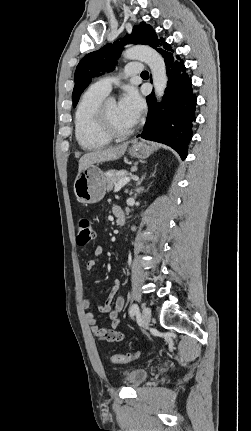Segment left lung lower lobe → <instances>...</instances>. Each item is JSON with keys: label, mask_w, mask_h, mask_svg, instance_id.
Returning <instances> with one entry per match:
<instances>
[{"label": "left lung lower lobe", "mask_w": 251, "mask_h": 431, "mask_svg": "<svg viewBox=\"0 0 251 431\" xmlns=\"http://www.w3.org/2000/svg\"><path fill=\"white\" fill-rule=\"evenodd\" d=\"M152 47L164 58L168 82L160 104L153 94L146 97L148 116L139 137L166 144L185 159L192 138V121L195 120L196 96L192 93L191 79L183 61L174 55L164 39H158Z\"/></svg>", "instance_id": "left-lung-lower-lobe-1"}]
</instances>
